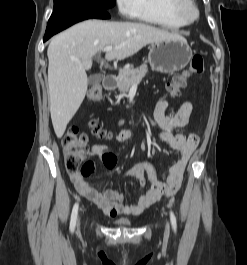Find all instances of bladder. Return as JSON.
Segmentation results:
<instances>
[{"label": "bladder", "mask_w": 247, "mask_h": 265, "mask_svg": "<svg viewBox=\"0 0 247 265\" xmlns=\"http://www.w3.org/2000/svg\"><path fill=\"white\" fill-rule=\"evenodd\" d=\"M133 224V221L130 219H119L115 222V225L121 226V227H128Z\"/></svg>", "instance_id": "obj_1"}]
</instances>
